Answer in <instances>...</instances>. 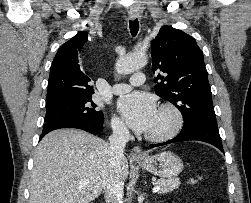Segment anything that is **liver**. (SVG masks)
<instances>
[{"label": "liver", "mask_w": 251, "mask_h": 203, "mask_svg": "<svg viewBox=\"0 0 251 203\" xmlns=\"http://www.w3.org/2000/svg\"><path fill=\"white\" fill-rule=\"evenodd\" d=\"M108 143L81 130L50 132L34 155L29 203H89L111 172ZM123 179L128 161H121Z\"/></svg>", "instance_id": "1"}]
</instances>
